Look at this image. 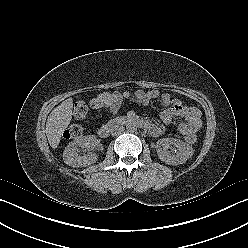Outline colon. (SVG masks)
Instances as JSON below:
<instances>
[{
	"label": "colon",
	"mask_w": 248,
	"mask_h": 248,
	"mask_svg": "<svg viewBox=\"0 0 248 248\" xmlns=\"http://www.w3.org/2000/svg\"><path fill=\"white\" fill-rule=\"evenodd\" d=\"M107 102V97L103 94L91 101V106L94 108L102 107ZM74 117L77 120H83L86 118L88 113V106L86 102L79 100L74 104L73 109ZM83 129L79 124H71L64 132V137L67 139H77L81 137ZM188 144H194L197 141L196 135L189 136L185 139Z\"/></svg>",
	"instance_id": "5ec220e1"
}]
</instances>
